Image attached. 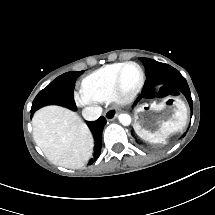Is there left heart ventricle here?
I'll return each instance as SVG.
<instances>
[{"label":"left heart ventricle","instance_id":"left-heart-ventricle-1","mask_svg":"<svg viewBox=\"0 0 215 215\" xmlns=\"http://www.w3.org/2000/svg\"><path fill=\"white\" fill-rule=\"evenodd\" d=\"M120 75L121 84L119 88L126 90L129 88V92L138 80V71L133 66H126L123 68Z\"/></svg>","mask_w":215,"mask_h":215}]
</instances>
